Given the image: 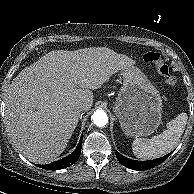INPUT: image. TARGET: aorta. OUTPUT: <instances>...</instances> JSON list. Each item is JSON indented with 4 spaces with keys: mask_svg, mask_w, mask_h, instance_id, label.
Masks as SVG:
<instances>
[{
    "mask_svg": "<svg viewBox=\"0 0 194 194\" xmlns=\"http://www.w3.org/2000/svg\"><path fill=\"white\" fill-rule=\"evenodd\" d=\"M93 123L98 127H104L108 123V116L103 110H96L92 114Z\"/></svg>",
    "mask_w": 194,
    "mask_h": 194,
    "instance_id": "obj_1",
    "label": "aorta"
}]
</instances>
